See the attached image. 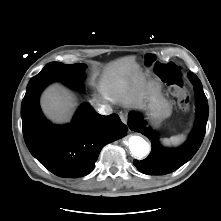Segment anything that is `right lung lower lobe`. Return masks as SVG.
Instances as JSON below:
<instances>
[{"mask_svg": "<svg viewBox=\"0 0 221 221\" xmlns=\"http://www.w3.org/2000/svg\"><path fill=\"white\" fill-rule=\"evenodd\" d=\"M56 80L40 76L30 79L21 105L24 140L31 154L55 175L85 176L93 170L101 149L124 137L128 128L118 115H100L89 104L78 109L70 124H51L40 110L39 95ZM63 82L82 89L80 82Z\"/></svg>", "mask_w": 221, "mask_h": 221, "instance_id": "98d812e1", "label": "right lung lower lobe"}]
</instances>
